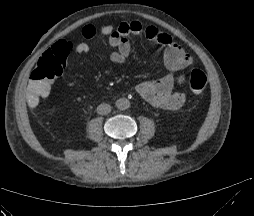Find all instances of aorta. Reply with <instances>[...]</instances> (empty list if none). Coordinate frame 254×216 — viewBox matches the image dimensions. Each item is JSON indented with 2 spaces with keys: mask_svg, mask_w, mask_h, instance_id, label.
<instances>
[{
  "mask_svg": "<svg viewBox=\"0 0 254 216\" xmlns=\"http://www.w3.org/2000/svg\"><path fill=\"white\" fill-rule=\"evenodd\" d=\"M115 105L119 110H126L130 107V101L127 98H119L116 100Z\"/></svg>",
  "mask_w": 254,
  "mask_h": 216,
  "instance_id": "762f6f07",
  "label": "aorta"
}]
</instances>
